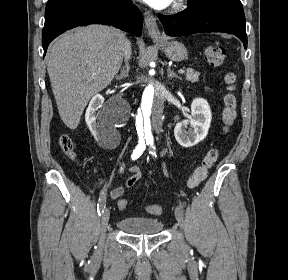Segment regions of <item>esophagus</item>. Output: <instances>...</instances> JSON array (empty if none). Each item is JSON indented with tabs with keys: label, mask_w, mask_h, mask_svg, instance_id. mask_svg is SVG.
Instances as JSON below:
<instances>
[{
	"label": "esophagus",
	"mask_w": 288,
	"mask_h": 280,
	"mask_svg": "<svg viewBox=\"0 0 288 280\" xmlns=\"http://www.w3.org/2000/svg\"><path fill=\"white\" fill-rule=\"evenodd\" d=\"M144 22L151 38L158 39L161 37V33L157 25V19L151 12L145 11Z\"/></svg>",
	"instance_id": "34e87169"
}]
</instances>
